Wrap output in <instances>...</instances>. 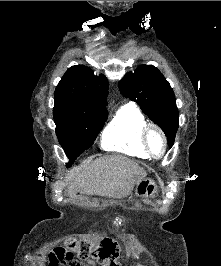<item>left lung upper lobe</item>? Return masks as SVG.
I'll return each instance as SVG.
<instances>
[{"mask_svg":"<svg viewBox=\"0 0 221 266\" xmlns=\"http://www.w3.org/2000/svg\"><path fill=\"white\" fill-rule=\"evenodd\" d=\"M119 90L161 127L172 147L179 127V114L173 89L163 74L152 65H141L119 81Z\"/></svg>","mask_w":221,"mask_h":266,"instance_id":"5c2ea615","label":"left lung upper lobe"}]
</instances>
